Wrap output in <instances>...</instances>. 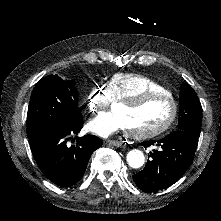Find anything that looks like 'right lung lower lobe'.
<instances>
[{"label": "right lung lower lobe", "mask_w": 221, "mask_h": 221, "mask_svg": "<svg viewBox=\"0 0 221 221\" xmlns=\"http://www.w3.org/2000/svg\"><path fill=\"white\" fill-rule=\"evenodd\" d=\"M82 125L83 120L69 128L44 130L28 137L38 167L60 187L76 184L83 177L93 151L103 144L97 136L85 135L77 139L76 146L67 147V141L80 132Z\"/></svg>", "instance_id": "right-lung-lower-lobe-1"}]
</instances>
